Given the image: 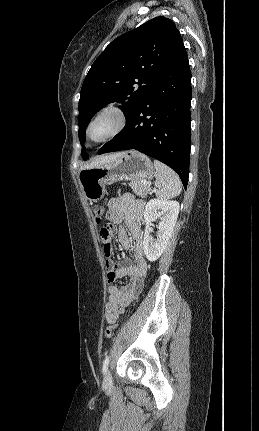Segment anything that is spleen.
<instances>
[{
    "label": "spleen",
    "instance_id": "3e777b00",
    "mask_svg": "<svg viewBox=\"0 0 259 431\" xmlns=\"http://www.w3.org/2000/svg\"><path fill=\"white\" fill-rule=\"evenodd\" d=\"M154 166L156 168V196L164 200L178 196L182 190L179 176L158 160H154Z\"/></svg>",
    "mask_w": 259,
    "mask_h": 431
}]
</instances>
